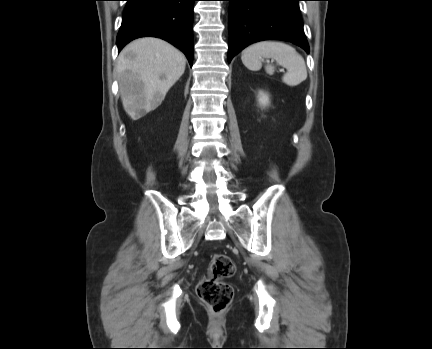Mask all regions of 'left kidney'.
<instances>
[{"label":"left kidney","mask_w":432,"mask_h":349,"mask_svg":"<svg viewBox=\"0 0 432 349\" xmlns=\"http://www.w3.org/2000/svg\"><path fill=\"white\" fill-rule=\"evenodd\" d=\"M258 101L259 104L263 107L267 106L269 104V96L267 93H264L263 91L259 92L258 95Z\"/></svg>","instance_id":"obj_1"}]
</instances>
